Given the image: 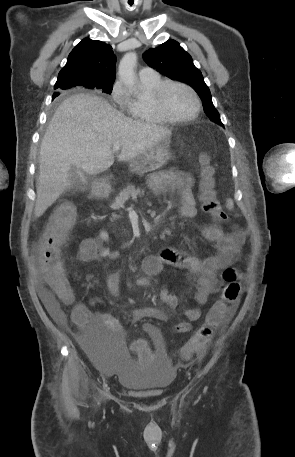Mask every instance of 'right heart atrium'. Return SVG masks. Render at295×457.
I'll use <instances>...</instances> for the list:
<instances>
[{
	"label": "right heart atrium",
	"mask_w": 295,
	"mask_h": 457,
	"mask_svg": "<svg viewBox=\"0 0 295 457\" xmlns=\"http://www.w3.org/2000/svg\"><path fill=\"white\" fill-rule=\"evenodd\" d=\"M111 99L122 110L129 111L131 106V98L121 82L114 83L111 89Z\"/></svg>",
	"instance_id": "1"
}]
</instances>
